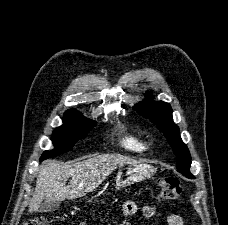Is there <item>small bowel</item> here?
Listing matches in <instances>:
<instances>
[{
    "label": "small bowel",
    "instance_id": "obj_1",
    "mask_svg": "<svg viewBox=\"0 0 228 225\" xmlns=\"http://www.w3.org/2000/svg\"><path fill=\"white\" fill-rule=\"evenodd\" d=\"M138 208L134 201L127 200L123 204V213L126 216H132L137 212ZM157 212V209L153 205H146L142 209V215L144 218H152ZM167 225H184L183 219L177 214H170L166 219ZM79 225H86V223L82 222ZM126 225H131V223H127Z\"/></svg>",
    "mask_w": 228,
    "mask_h": 225
}]
</instances>
